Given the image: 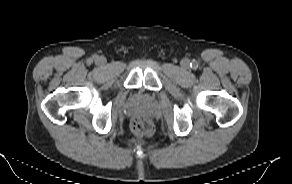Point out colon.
<instances>
[{"label":"colon","mask_w":292,"mask_h":184,"mask_svg":"<svg viewBox=\"0 0 292 184\" xmlns=\"http://www.w3.org/2000/svg\"><path fill=\"white\" fill-rule=\"evenodd\" d=\"M131 130L136 135H151L153 133V126L147 121L136 119L131 124Z\"/></svg>","instance_id":"1"}]
</instances>
